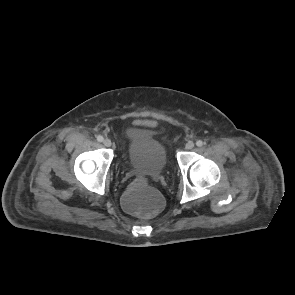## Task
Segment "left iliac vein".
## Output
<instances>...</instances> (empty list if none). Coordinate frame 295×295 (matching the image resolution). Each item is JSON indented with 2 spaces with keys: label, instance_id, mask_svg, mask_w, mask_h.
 <instances>
[{
  "label": "left iliac vein",
  "instance_id": "1",
  "mask_svg": "<svg viewBox=\"0 0 295 295\" xmlns=\"http://www.w3.org/2000/svg\"><path fill=\"white\" fill-rule=\"evenodd\" d=\"M194 146H195V144H194L193 141H188V142L186 143V145H185V148H186L187 150H191V149L194 148Z\"/></svg>",
  "mask_w": 295,
  "mask_h": 295
}]
</instances>
